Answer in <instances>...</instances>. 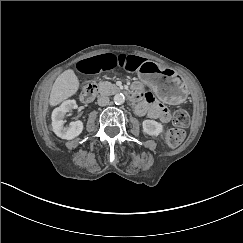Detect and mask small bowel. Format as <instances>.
<instances>
[{"instance_id": "small-bowel-1", "label": "small bowel", "mask_w": 243, "mask_h": 243, "mask_svg": "<svg viewBox=\"0 0 243 243\" xmlns=\"http://www.w3.org/2000/svg\"><path fill=\"white\" fill-rule=\"evenodd\" d=\"M143 58L132 54H100L78 63V68L83 73H98L116 68L127 71L137 70L142 63ZM143 100L136 105L135 111L139 115H148L152 119H160L162 122H168L170 114L167 107L159 102L152 93L142 92V86L136 84Z\"/></svg>"}]
</instances>
